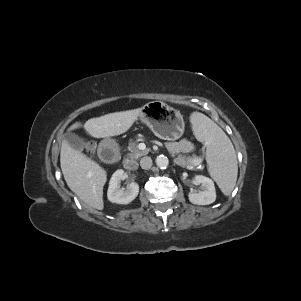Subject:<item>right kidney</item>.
<instances>
[{
    "mask_svg": "<svg viewBox=\"0 0 301 301\" xmlns=\"http://www.w3.org/2000/svg\"><path fill=\"white\" fill-rule=\"evenodd\" d=\"M125 178L126 173L122 169L115 171L112 175L107 192V197L110 202L116 204H129L137 197L139 193V185L137 183H130L126 190L120 188V182Z\"/></svg>",
    "mask_w": 301,
    "mask_h": 301,
    "instance_id": "1",
    "label": "right kidney"
}]
</instances>
